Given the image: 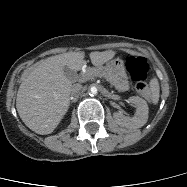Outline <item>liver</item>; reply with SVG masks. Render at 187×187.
Returning <instances> with one entry per match:
<instances>
[{
    "mask_svg": "<svg viewBox=\"0 0 187 187\" xmlns=\"http://www.w3.org/2000/svg\"><path fill=\"white\" fill-rule=\"evenodd\" d=\"M113 50L89 54L94 66H101L115 56ZM84 52H70L36 63L20 84L16 108L25 125L37 134L52 133L67 112L72 82L64 67L79 71L85 65Z\"/></svg>",
    "mask_w": 187,
    "mask_h": 187,
    "instance_id": "6515ba94",
    "label": "liver"
}]
</instances>
